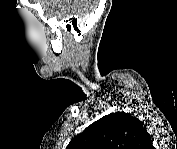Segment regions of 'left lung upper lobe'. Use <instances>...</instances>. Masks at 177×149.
I'll list each match as a JSON object with an SVG mask.
<instances>
[{
	"label": "left lung upper lobe",
	"instance_id": "5c2ea615",
	"mask_svg": "<svg viewBox=\"0 0 177 149\" xmlns=\"http://www.w3.org/2000/svg\"><path fill=\"white\" fill-rule=\"evenodd\" d=\"M147 135L139 119L116 112L92 123L75 136L66 149H146Z\"/></svg>",
	"mask_w": 177,
	"mask_h": 149
}]
</instances>
